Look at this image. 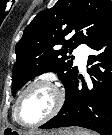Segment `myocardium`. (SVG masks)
Returning <instances> with one entry per match:
<instances>
[{"label": "myocardium", "instance_id": "f54148a6", "mask_svg": "<svg viewBox=\"0 0 112 135\" xmlns=\"http://www.w3.org/2000/svg\"><path fill=\"white\" fill-rule=\"evenodd\" d=\"M39 85H45V86L52 88L57 95V102H56L54 108L51 110V112L48 115H46L45 117H43L42 119H40L38 121L29 122V121H26L21 114V101L28 90H30L31 88H33L35 86H39ZM64 100H65V97H64L63 91L54 82L47 80V79L35 80V81L31 82L30 84H28L19 94V96L15 102V107H14L15 118L18 121V123L22 126H25V127L39 126V125L51 120L59 113V111L61 110V108L64 104Z\"/></svg>", "mask_w": 112, "mask_h": 135}]
</instances>
